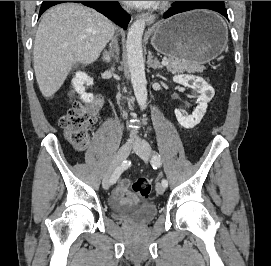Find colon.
<instances>
[{
	"instance_id": "5ec220e1",
	"label": "colon",
	"mask_w": 271,
	"mask_h": 266,
	"mask_svg": "<svg viewBox=\"0 0 271 266\" xmlns=\"http://www.w3.org/2000/svg\"><path fill=\"white\" fill-rule=\"evenodd\" d=\"M101 103L100 97H96L90 104L76 101L61 118L60 125L64 136L76 149L82 150L86 147L89 140L88 129L95 122ZM132 188L134 192L145 198L150 196L152 190L151 182L144 177L138 178Z\"/></svg>"
}]
</instances>
